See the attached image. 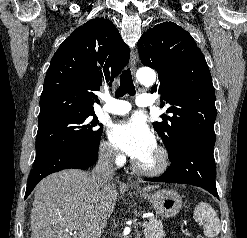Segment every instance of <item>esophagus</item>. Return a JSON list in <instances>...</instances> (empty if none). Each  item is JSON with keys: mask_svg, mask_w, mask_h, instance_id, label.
Returning <instances> with one entry per match:
<instances>
[{"mask_svg": "<svg viewBox=\"0 0 247 238\" xmlns=\"http://www.w3.org/2000/svg\"><path fill=\"white\" fill-rule=\"evenodd\" d=\"M130 68H131V72L132 74L135 76V72H136V55L135 52L132 51L131 55H130ZM132 184L138 186L137 182H132Z\"/></svg>", "mask_w": 247, "mask_h": 238, "instance_id": "1", "label": "esophagus"}]
</instances>
